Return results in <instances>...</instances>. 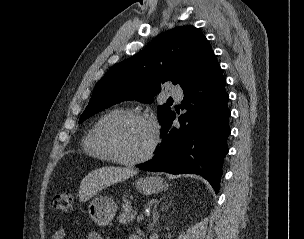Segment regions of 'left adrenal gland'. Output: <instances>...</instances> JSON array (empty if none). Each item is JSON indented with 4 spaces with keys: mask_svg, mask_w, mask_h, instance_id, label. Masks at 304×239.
<instances>
[{
    "mask_svg": "<svg viewBox=\"0 0 304 239\" xmlns=\"http://www.w3.org/2000/svg\"><path fill=\"white\" fill-rule=\"evenodd\" d=\"M162 200V198L160 199V201ZM159 201H156L154 208H153V220L150 223L149 227L152 228L154 226V224H156L157 220L159 219V213L157 212V205H158ZM170 205V204H169ZM168 208V206H166ZM164 209V206L162 207V210Z\"/></svg>",
    "mask_w": 304,
    "mask_h": 239,
    "instance_id": "left-adrenal-gland-1",
    "label": "left adrenal gland"
}]
</instances>
